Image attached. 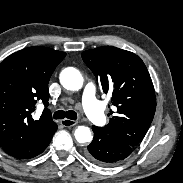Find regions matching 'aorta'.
<instances>
[{
  "label": "aorta",
  "instance_id": "obj_1",
  "mask_svg": "<svg viewBox=\"0 0 183 183\" xmlns=\"http://www.w3.org/2000/svg\"><path fill=\"white\" fill-rule=\"evenodd\" d=\"M83 81L81 73L73 67L65 68L60 73V83L68 90L77 91L81 89ZM74 136L77 142L82 144L91 142L93 138L90 129L86 126L77 127Z\"/></svg>",
  "mask_w": 183,
  "mask_h": 183
}]
</instances>
